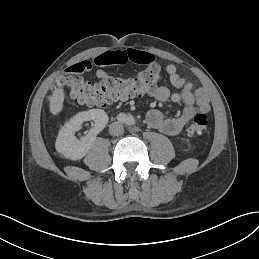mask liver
<instances>
[{
    "label": "liver",
    "instance_id": "obj_1",
    "mask_svg": "<svg viewBox=\"0 0 259 259\" xmlns=\"http://www.w3.org/2000/svg\"><path fill=\"white\" fill-rule=\"evenodd\" d=\"M63 102H64V91L63 89L59 88L56 89L52 96L50 97V112L53 115H57L59 112H61L63 108Z\"/></svg>",
    "mask_w": 259,
    "mask_h": 259
}]
</instances>
